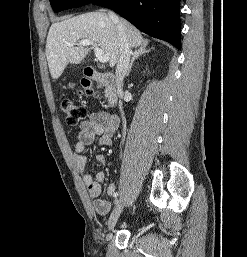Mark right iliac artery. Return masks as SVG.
Instances as JSON below:
<instances>
[{"mask_svg": "<svg viewBox=\"0 0 247 257\" xmlns=\"http://www.w3.org/2000/svg\"><path fill=\"white\" fill-rule=\"evenodd\" d=\"M115 197H117L118 196V193H115V195H114Z\"/></svg>", "mask_w": 247, "mask_h": 257, "instance_id": "82829eb1", "label": "right iliac artery"}]
</instances>
